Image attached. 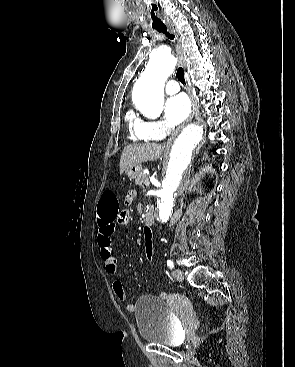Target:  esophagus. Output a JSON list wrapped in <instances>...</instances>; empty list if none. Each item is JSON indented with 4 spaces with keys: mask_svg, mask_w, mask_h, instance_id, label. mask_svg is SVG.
Here are the masks:
<instances>
[{
    "mask_svg": "<svg viewBox=\"0 0 295 367\" xmlns=\"http://www.w3.org/2000/svg\"><path fill=\"white\" fill-rule=\"evenodd\" d=\"M169 30L174 35V37L176 39V50H177V56H178V59H179V63H180L181 66H185L186 62H185V58H184V54H183V46H182V43H181V38L179 36L178 29L176 28V26L170 25ZM190 96H191V100H192L191 112H190L188 118L185 120V122L176 129V131L173 133V135L168 140L167 145H166L167 150H169L170 147L172 146V144H173L175 138L177 137L178 133L180 132V130L187 123H189L192 120V118L194 117V114L197 110V100H196L194 94L191 93V92H190Z\"/></svg>",
    "mask_w": 295,
    "mask_h": 367,
    "instance_id": "1",
    "label": "esophagus"
}]
</instances>
